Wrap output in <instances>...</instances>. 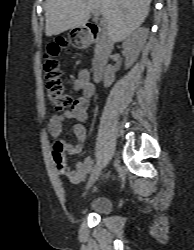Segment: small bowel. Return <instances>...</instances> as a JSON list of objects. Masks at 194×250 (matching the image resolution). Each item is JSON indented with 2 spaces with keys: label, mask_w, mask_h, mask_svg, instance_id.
I'll list each match as a JSON object with an SVG mask.
<instances>
[{
  "label": "small bowel",
  "mask_w": 194,
  "mask_h": 250,
  "mask_svg": "<svg viewBox=\"0 0 194 250\" xmlns=\"http://www.w3.org/2000/svg\"><path fill=\"white\" fill-rule=\"evenodd\" d=\"M74 88L80 91L81 96L77 99L76 105L66 110L61 114H54L48 122V131L54 141L53 158L56 164L57 171L60 175L66 176L73 184L81 183L85 180L86 175L92 166L93 159L88 156L76 164L75 170H70L66 163L65 158L60 159L58 153L68 155H77L81 152L84 141L86 139L87 131L85 122L87 120V112L89 101L95 93V86L90 81L89 73L83 70L79 73L74 81ZM67 119H75L77 123L73 126V132L76 137V144L67 143L61 138L63 131V123ZM67 167V171H62V167Z\"/></svg>",
  "instance_id": "1"
}]
</instances>
